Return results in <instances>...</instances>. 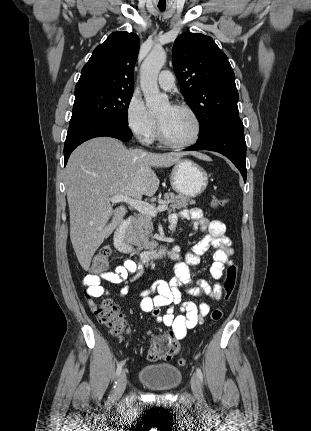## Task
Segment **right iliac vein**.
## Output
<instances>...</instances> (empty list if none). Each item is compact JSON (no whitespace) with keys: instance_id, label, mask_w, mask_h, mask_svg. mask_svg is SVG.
<instances>
[{"instance_id":"1","label":"right iliac vein","mask_w":311,"mask_h":431,"mask_svg":"<svg viewBox=\"0 0 311 431\" xmlns=\"http://www.w3.org/2000/svg\"><path fill=\"white\" fill-rule=\"evenodd\" d=\"M126 382H127V374H126V370H123L116 384L115 393H114L115 399L118 400L122 396L126 388Z\"/></svg>"}]
</instances>
